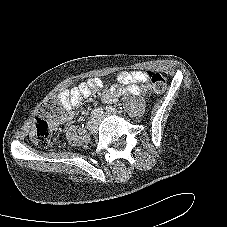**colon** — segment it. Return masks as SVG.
I'll return each instance as SVG.
<instances>
[{
    "mask_svg": "<svg viewBox=\"0 0 227 227\" xmlns=\"http://www.w3.org/2000/svg\"><path fill=\"white\" fill-rule=\"evenodd\" d=\"M148 80L151 83L153 91L162 93L166 90L167 80L158 72H148ZM59 102L56 98L51 97L44 100L40 105V113L42 116L37 117L34 121L33 128L30 132V138L34 144L39 147H48L51 142V127L47 120L43 117L57 112Z\"/></svg>",
    "mask_w": 227,
    "mask_h": 227,
    "instance_id": "obj_1",
    "label": "colon"
}]
</instances>
